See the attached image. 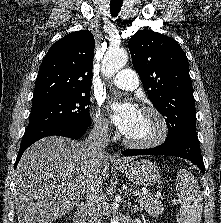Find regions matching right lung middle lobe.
<instances>
[{"label":"right lung middle lobe","instance_id":"dd1d6c3e","mask_svg":"<svg viewBox=\"0 0 221 223\" xmlns=\"http://www.w3.org/2000/svg\"><path fill=\"white\" fill-rule=\"evenodd\" d=\"M27 129L50 123H65L73 126L89 127L90 92L58 95L32 102Z\"/></svg>","mask_w":221,"mask_h":223}]
</instances>
